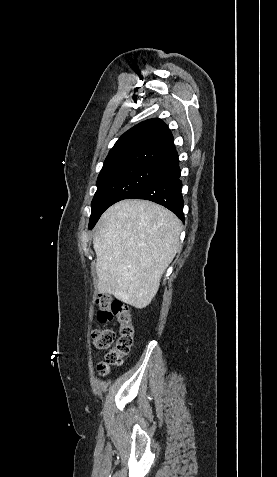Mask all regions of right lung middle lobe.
I'll return each instance as SVG.
<instances>
[{
  "instance_id": "obj_1",
  "label": "right lung middle lobe",
  "mask_w": 277,
  "mask_h": 477,
  "mask_svg": "<svg viewBox=\"0 0 277 477\" xmlns=\"http://www.w3.org/2000/svg\"><path fill=\"white\" fill-rule=\"evenodd\" d=\"M158 167L126 165L99 174L97 191L93 197L89 229H92L101 214L112 204L128 199L144 186L157 172Z\"/></svg>"
}]
</instances>
